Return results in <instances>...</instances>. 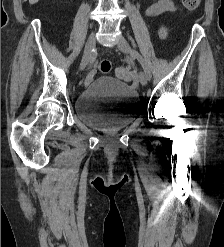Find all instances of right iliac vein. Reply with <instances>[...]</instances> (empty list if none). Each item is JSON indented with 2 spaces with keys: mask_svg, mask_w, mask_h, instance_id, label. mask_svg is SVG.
<instances>
[{
  "mask_svg": "<svg viewBox=\"0 0 224 247\" xmlns=\"http://www.w3.org/2000/svg\"><path fill=\"white\" fill-rule=\"evenodd\" d=\"M95 43H96L95 34L92 33L87 40L85 50H84V55L80 63L79 68L81 71L84 70V68L87 66L89 62H91L93 58V50L95 48Z\"/></svg>",
  "mask_w": 224,
  "mask_h": 247,
  "instance_id": "1",
  "label": "right iliac vein"
}]
</instances>
